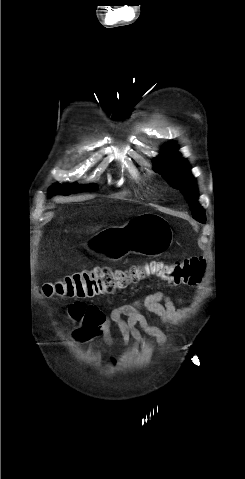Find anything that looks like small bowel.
Here are the masks:
<instances>
[{"mask_svg": "<svg viewBox=\"0 0 245 479\" xmlns=\"http://www.w3.org/2000/svg\"><path fill=\"white\" fill-rule=\"evenodd\" d=\"M184 302L183 299L174 301L163 293L156 292L146 295L137 302L116 307L108 315H105L98 306L86 304V322L90 334L101 336L107 345L113 342L111 326L115 325L124 345L134 341L142 351H145L147 344L143 333L153 338L159 346L165 344L166 338L158 327L148 322L142 310L154 314L162 323L170 324L187 314L184 306H178Z\"/></svg>", "mask_w": 245, "mask_h": 479, "instance_id": "c3829d8e", "label": "small bowel"}]
</instances>
